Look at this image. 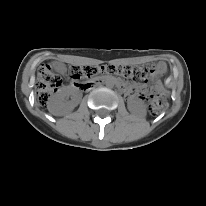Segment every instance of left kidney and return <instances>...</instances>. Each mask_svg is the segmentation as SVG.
I'll return each mask as SVG.
<instances>
[{
	"label": "left kidney",
	"mask_w": 206,
	"mask_h": 206,
	"mask_svg": "<svg viewBox=\"0 0 206 206\" xmlns=\"http://www.w3.org/2000/svg\"><path fill=\"white\" fill-rule=\"evenodd\" d=\"M128 109L131 113L145 114V105L141 100H131L128 104Z\"/></svg>",
	"instance_id": "5707ae66"
}]
</instances>
